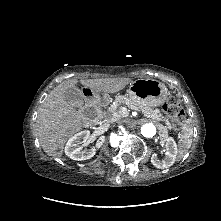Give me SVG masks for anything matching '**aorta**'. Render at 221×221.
Returning <instances> with one entry per match:
<instances>
[{"mask_svg": "<svg viewBox=\"0 0 221 221\" xmlns=\"http://www.w3.org/2000/svg\"><path fill=\"white\" fill-rule=\"evenodd\" d=\"M141 134L144 137L151 138L156 134V127L152 123H146L141 127Z\"/></svg>", "mask_w": 221, "mask_h": 221, "instance_id": "762f6f07", "label": "aorta"}]
</instances>
